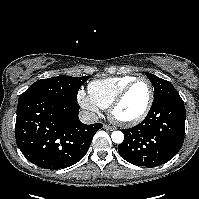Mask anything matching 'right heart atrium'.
<instances>
[{
  "label": "right heart atrium",
  "instance_id": "obj_1",
  "mask_svg": "<svg viewBox=\"0 0 199 199\" xmlns=\"http://www.w3.org/2000/svg\"><path fill=\"white\" fill-rule=\"evenodd\" d=\"M77 99L80 106L91 114L95 115L99 113L98 105L90 98V96L84 90H79L77 94Z\"/></svg>",
  "mask_w": 199,
  "mask_h": 199
}]
</instances>
